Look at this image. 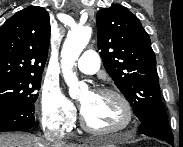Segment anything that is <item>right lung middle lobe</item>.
Segmentation results:
<instances>
[{
	"mask_svg": "<svg viewBox=\"0 0 183 147\" xmlns=\"http://www.w3.org/2000/svg\"><path fill=\"white\" fill-rule=\"evenodd\" d=\"M42 75L0 80V104L34 103L38 98Z\"/></svg>",
	"mask_w": 183,
	"mask_h": 147,
	"instance_id": "1",
	"label": "right lung middle lobe"
}]
</instances>
